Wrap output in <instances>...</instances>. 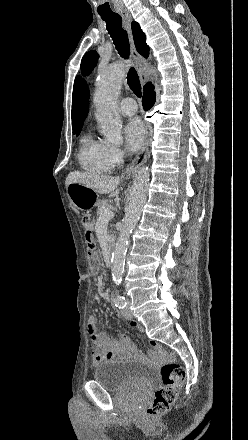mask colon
I'll list each match as a JSON object with an SVG mask.
<instances>
[{
  "instance_id": "1",
  "label": "colon",
  "mask_w": 248,
  "mask_h": 440,
  "mask_svg": "<svg viewBox=\"0 0 248 440\" xmlns=\"http://www.w3.org/2000/svg\"><path fill=\"white\" fill-rule=\"evenodd\" d=\"M82 224L86 230L90 267L93 271H96L99 268L100 262L94 252V243L91 235L93 220L89 217H84ZM160 371L162 385L155 392L154 399L146 410L149 418L159 417L169 411L185 379V370L175 361L173 355L169 356L168 361L161 367Z\"/></svg>"
}]
</instances>
